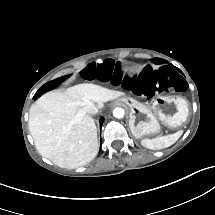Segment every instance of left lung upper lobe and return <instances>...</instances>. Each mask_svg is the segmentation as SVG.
<instances>
[{"instance_id": "obj_1", "label": "left lung upper lobe", "mask_w": 215, "mask_h": 215, "mask_svg": "<svg viewBox=\"0 0 215 215\" xmlns=\"http://www.w3.org/2000/svg\"><path fill=\"white\" fill-rule=\"evenodd\" d=\"M152 62H154L155 64H161V63H163V60L159 59V58H155L152 60Z\"/></svg>"}]
</instances>
